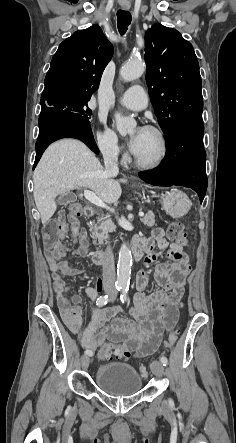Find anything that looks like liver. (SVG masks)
I'll return each instance as SVG.
<instances>
[{"label":"liver","instance_id":"liver-1","mask_svg":"<svg viewBox=\"0 0 236 443\" xmlns=\"http://www.w3.org/2000/svg\"><path fill=\"white\" fill-rule=\"evenodd\" d=\"M34 200L42 224L56 211V197L80 187L91 189L106 203H115L121 196L120 183L104 170L100 161L82 142L63 139L44 152L33 175Z\"/></svg>","mask_w":236,"mask_h":443}]
</instances>
